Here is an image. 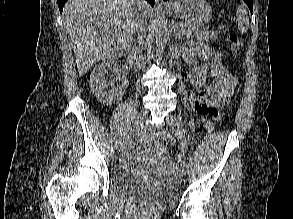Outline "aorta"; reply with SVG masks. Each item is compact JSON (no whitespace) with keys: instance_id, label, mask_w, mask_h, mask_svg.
I'll return each mask as SVG.
<instances>
[{"instance_id":"1","label":"aorta","mask_w":293,"mask_h":219,"mask_svg":"<svg viewBox=\"0 0 293 219\" xmlns=\"http://www.w3.org/2000/svg\"><path fill=\"white\" fill-rule=\"evenodd\" d=\"M156 53L161 54L168 41V31L165 21L161 17L156 19Z\"/></svg>"}]
</instances>
